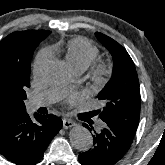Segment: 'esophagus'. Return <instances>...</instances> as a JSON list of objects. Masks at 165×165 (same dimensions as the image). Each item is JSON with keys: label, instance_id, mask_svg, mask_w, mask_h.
Masks as SVG:
<instances>
[{"label": "esophagus", "instance_id": "esophagus-1", "mask_svg": "<svg viewBox=\"0 0 165 165\" xmlns=\"http://www.w3.org/2000/svg\"><path fill=\"white\" fill-rule=\"evenodd\" d=\"M75 125V123L70 120V119H63V128L64 129H69L71 127H73Z\"/></svg>", "mask_w": 165, "mask_h": 165}]
</instances>
